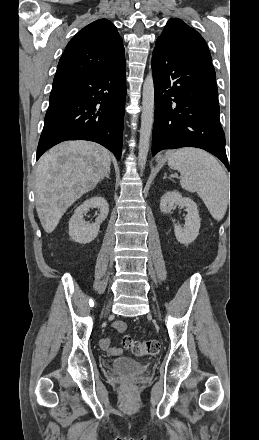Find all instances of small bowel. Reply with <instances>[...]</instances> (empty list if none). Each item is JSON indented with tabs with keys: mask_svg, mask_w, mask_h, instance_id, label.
Returning <instances> with one entry per match:
<instances>
[{
	"mask_svg": "<svg viewBox=\"0 0 259 440\" xmlns=\"http://www.w3.org/2000/svg\"><path fill=\"white\" fill-rule=\"evenodd\" d=\"M113 327L119 331L124 332L127 330V324L123 321H115ZM100 346L102 349L108 351L110 354H118L122 350L120 348L111 345V340L109 338H104L100 341Z\"/></svg>",
	"mask_w": 259,
	"mask_h": 440,
	"instance_id": "c3829d8e",
	"label": "small bowel"
}]
</instances>
